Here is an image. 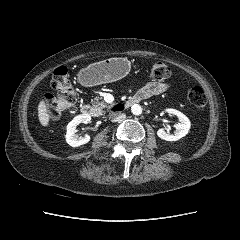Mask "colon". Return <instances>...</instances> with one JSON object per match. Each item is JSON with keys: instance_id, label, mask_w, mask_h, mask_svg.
I'll list each match as a JSON object with an SVG mask.
<instances>
[{"instance_id": "1", "label": "colon", "mask_w": 240, "mask_h": 240, "mask_svg": "<svg viewBox=\"0 0 240 240\" xmlns=\"http://www.w3.org/2000/svg\"><path fill=\"white\" fill-rule=\"evenodd\" d=\"M149 75L153 80L161 81L170 76V69L163 62H155L150 68ZM51 87L56 91V95L46 96L45 104L50 117L58 118L76 102V94L66 67L60 66L54 70ZM188 99L197 109L202 110L206 106V95L199 86L189 90Z\"/></svg>"}]
</instances>
